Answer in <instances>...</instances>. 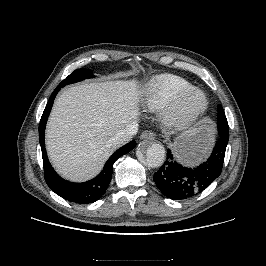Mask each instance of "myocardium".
<instances>
[{
	"instance_id": "myocardium-1",
	"label": "myocardium",
	"mask_w": 266,
	"mask_h": 266,
	"mask_svg": "<svg viewBox=\"0 0 266 266\" xmlns=\"http://www.w3.org/2000/svg\"><path fill=\"white\" fill-rule=\"evenodd\" d=\"M191 95H197L201 99V104L195 108H189L186 100ZM209 100L207 94L200 88L189 87L180 91L162 109L161 117L164 122L173 125L190 123L200 118L208 109Z\"/></svg>"
}]
</instances>
